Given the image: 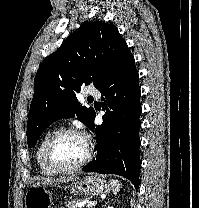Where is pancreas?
<instances>
[{
    "label": "pancreas",
    "instance_id": "1",
    "mask_svg": "<svg viewBox=\"0 0 199 208\" xmlns=\"http://www.w3.org/2000/svg\"><path fill=\"white\" fill-rule=\"evenodd\" d=\"M80 201H76V200H72V201H66L65 202V206L66 208H77V204L79 203ZM85 206H82L81 208H84Z\"/></svg>",
    "mask_w": 199,
    "mask_h": 208
}]
</instances>
